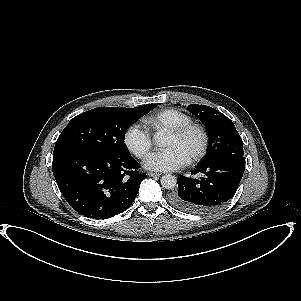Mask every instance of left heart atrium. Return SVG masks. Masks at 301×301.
I'll list each match as a JSON object with an SVG mask.
<instances>
[{
  "label": "left heart atrium",
  "instance_id": "left-heart-atrium-1",
  "mask_svg": "<svg viewBox=\"0 0 301 301\" xmlns=\"http://www.w3.org/2000/svg\"><path fill=\"white\" fill-rule=\"evenodd\" d=\"M186 163V158L171 149H164L149 154L144 161L145 167L149 170L167 172L176 171Z\"/></svg>",
  "mask_w": 301,
  "mask_h": 301
}]
</instances>
